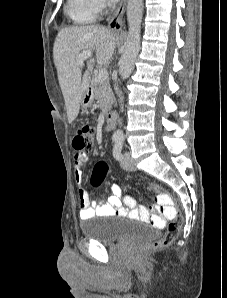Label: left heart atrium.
<instances>
[{
    "label": "left heart atrium",
    "mask_w": 227,
    "mask_h": 298,
    "mask_svg": "<svg viewBox=\"0 0 227 298\" xmlns=\"http://www.w3.org/2000/svg\"><path fill=\"white\" fill-rule=\"evenodd\" d=\"M111 2H115V1H117V0H110Z\"/></svg>",
    "instance_id": "obj_1"
}]
</instances>
